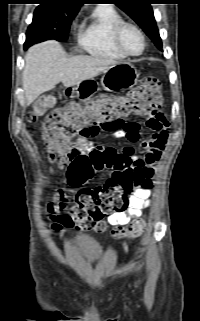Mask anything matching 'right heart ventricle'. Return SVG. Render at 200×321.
Listing matches in <instances>:
<instances>
[{"mask_svg":"<svg viewBox=\"0 0 200 321\" xmlns=\"http://www.w3.org/2000/svg\"><path fill=\"white\" fill-rule=\"evenodd\" d=\"M122 21H124L123 17L113 6H97L78 33V45L85 52L96 57L125 59L127 56L116 48L113 41L114 29Z\"/></svg>","mask_w":200,"mask_h":321,"instance_id":"e07e8e85","label":"right heart ventricle"}]
</instances>
